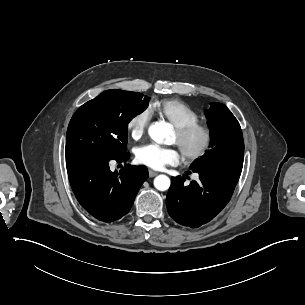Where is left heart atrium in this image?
<instances>
[{
  "label": "left heart atrium",
  "mask_w": 305,
  "mask_h": 305,
  "mask_svg": "<svg viewBox=\"0 0 305 305\" xmlns=\"http://www.w3.org/2000/svg\"><path fill=\"white\" fill-rule=\"evenodd\" d=\"M135 157L137 162L157 169L166 164L177 163L180 154L174 146L166 147L155 143H147L136 148Z\"/></svg>",
  "instance_id": "1"
}]
</instances>
